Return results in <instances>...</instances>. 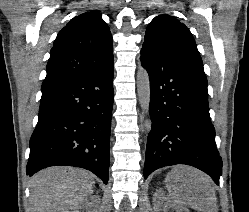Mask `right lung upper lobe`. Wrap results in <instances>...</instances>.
<instances>
[{
  "mask_svg": "<svg viewBox=\"0 0 249 212\" xmlns=\"http://www.w3.org/2000/svg\"><path fill=\"white\" fill-rule=\"evenodd\" d=\"M110 60L112 35L100 12L80 14L58 33L42 88L91 73Z\"/></svg>",
  "mask_w": 249,
  "mask_h": 212,
  "instance_id": "obj_1",
  "label": "right lung upper lobe"
}]
</instances>
